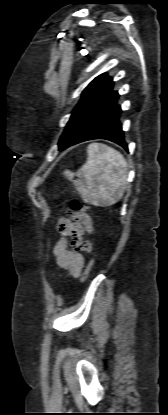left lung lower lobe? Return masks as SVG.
I'll use <instances>...</instances> for the list:
<instances>
[{
	"label": "left lung lower lobe",
	"mask_w": 168,
	"mask_h": 415,
	"mask_svg": "<svg viewBox=\"0 0 168 415\" xmlns=\"http://www.w3.org/2000/svg\"><path fill=\"white\" fill-rule=\"evenodd\" d=\"M117 100L118 97L110 102L104 110L95 117L85 132L76 140L75 144L93 139H106L115 142L128 150V146L124 140V131L122 130V124L120 122L122 110L117 104Z\"/></svg>",
	"instance_id": "0a47b994"
}]
</instances>
